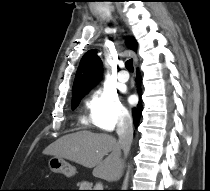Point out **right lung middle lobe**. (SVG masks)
Masks as SVG:
<instances>
[{
    "mask_svg": "<svg viewBox=\"0 0 210 191\" xmlns=\"http://www.w3.org/2000/svg\"><path fill=\"white\" fill-rule=\"evenodd\" d=\"M83 96H84V94L79 95V96L75 97L74 99H72V105H71L72 109H75L78 106L79 101Z\"/></svg>",
    "mask_w": 210,
    "mask_h": 191,
    "instance_id": "obj_1",
    "label": "right lung middle lobe"
}]
</instances>
